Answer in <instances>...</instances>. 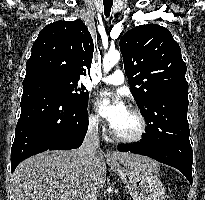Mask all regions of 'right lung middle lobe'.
<instances>
[{"label": "right lung middle lobe", "mask_w": 205, "mask_h": 200, "mask_svg": "<svg viewBox=\"0 0 205 200\" xmlns=\"http://www.w3.org/2000/svg\"><path fill=\"white\" fill-rule=\"evenodd\" d=\"M31 81L43 82L57 87L69 100L80 104L87 105L89 93L84 92L86 89L83 85L77 88L78 81L56 74H43L30 79Z\"/></svg>", "instance_id": "dd1d6c3e"}]
</instances>
